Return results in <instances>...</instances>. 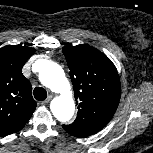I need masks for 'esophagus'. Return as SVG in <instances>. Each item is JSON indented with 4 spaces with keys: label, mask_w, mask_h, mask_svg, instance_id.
Wrapping results in <instances>:
<instances>
[{
    "label": "esophagus",
    "mask_w": 153,
    "mask_h": 153,
    "mask_svg": "<svg viewBox=\"0 0 153 153\" xmlns=\"http://www.w3.org/2000/svg\"><path fill=\"white\" fill-rule=\"evenodd\" d=\"M52 97H53L52 95H49L47 99L42 102V105H47L51 101Z\"/></svg>",
    "instance_id": "esophagus-1"
}]
</instances>
